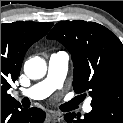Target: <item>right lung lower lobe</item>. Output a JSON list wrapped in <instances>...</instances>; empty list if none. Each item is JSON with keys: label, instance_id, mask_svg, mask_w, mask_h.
<instances>
[{"label": "right lung lower lobe", "instance_id": "right-lung-lower-lobe-1", "mask_svg": "<svg viewBox=\"0 0 123 123\" xmlns=\"http://www.w3.org/2000/svg\"><path fill=\"white\" fill-rule=\"evenodd\" d=\"M45 116L43 110L23 109L19 102L1 103V123H43Z\"/></svg>", "mask_w": 123, "mask_h": 123}]
</instances>
